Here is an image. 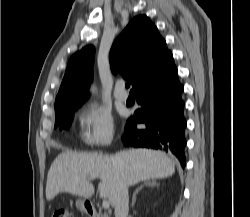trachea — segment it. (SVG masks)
Segmentation results:
<instances>
[{"label": "trachea", "mask_w": 250, "mask_h": 217, "mask_svg": "<svg viewBox=\"0 0 250 217\" xmlns=\"http://www.w3.org/2000/svg\"><path fill=\"white\" fill-rule=\"evenodd\" d=\"M130 87V82H127L126 83V88H129Z\"/></svg>", "instance_id": "trachea-1"}]
</instances>
